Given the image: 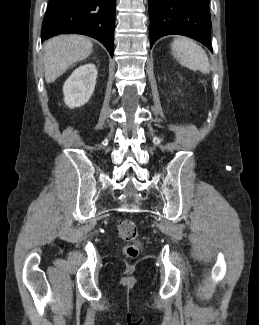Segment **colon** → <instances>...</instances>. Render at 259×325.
Instances as JSON below:
<instances>
[{"instance_id":"1","label":"colon","mask_w":259,"mask_h":325,"mask_svg":"<svg viewBox=\"0 0 259 325\" xmlns=\"http://www.w3.org/2000/svg\"><path fill=\"white\" fill-rule=\"evenodd\" d=\"M118 235L126 241L123 253L126 257L135 258L141 249L142 243L139 238V230L135 222L124 219L118 223Z\"/></svg>"}]
</instances>
